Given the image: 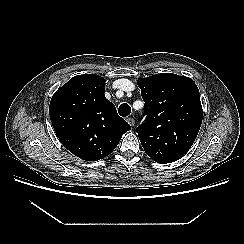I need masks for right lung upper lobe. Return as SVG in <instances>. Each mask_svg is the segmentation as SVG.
<instances>
[{"instance_id": "1", "label": "right lung upper lobe", "mask_w": 244, "mask_h": 244, "mask_svg": "<svg viewBox=\"0 0 244 244\" xmlns=\"http://www.w3.org/2000/svg\"><path fill=\"white\" fill-rule=\"evenodd\" d=\"M104 92V78L84 74L71 78L50 101V119L60 142L86 161L108 156L131 129Z\"/></svg>"}]
</instances>
